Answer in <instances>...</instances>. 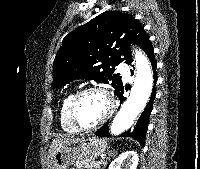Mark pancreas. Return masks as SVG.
<instances>
[{
  "label": "pancreas",
  "instance_id": "1",
  "mask_svg": "<svg viewBox=\"0 0 200 169\" xmlns=\"http://www.w3.org/2000/svg\"><path fill=\"white\" fill-rule=\"evenodd\" d=\"M104 164V161H79L76 162V169H100V166Z\"/></svg>",
  "mask_w": 200,
  "mask_h": 169
}]
</instances>
